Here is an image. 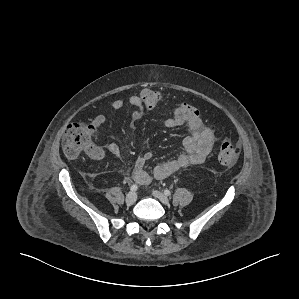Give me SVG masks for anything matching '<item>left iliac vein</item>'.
Returning <instances> with one entry per match:
<instances>
[{
    "label": "left iliac vein",
    "mask_w": 299,
    "mask_h": 299,
    "mask_svg": "<svg viewBox=\"0 0 299 299\" xmlns=\"http://www.w3.org/2000/svg\"><path fill=\"white\" fill-rule=\"evenodd\" d=\"M152 194H153V196H154L156 199H158L161 203H163V204H165V205L169 204V199H168V197H167L165 194H163L162 192L157 191V190H153V191H152Z\"/></svg>",
    "instance_id": "obj_1"
}]
</instances>
